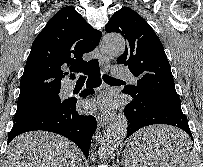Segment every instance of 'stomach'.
<instances>
[{"label":"stomach","mask_w":203,"mask_h":167,"mask_svg":"<svg viewBox=\"0 0 203 167\" xmlns=\"http://www.w3.org/2000/svg\"><path fill=\"white\" fill-rule=\"evenodd\" d=\"M130 149L131 148L127 147L126 148V154L124 155V164H125V167H129V164H128L127 160H129L130 155H131ZM157 150L158 149H152L151 153L154 154V155H157L158 154Z\"/></svg>","instance_id":"obj_1"}]
</instances>
